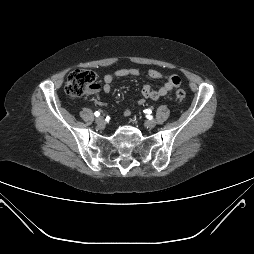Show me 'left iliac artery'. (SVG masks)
Here are the masks:
<instances>
[{"label": "left iliac artery", "mask_w": 254, "mask_h": 254, "mask_svg": "<svg viewBox=\"0 0 254 254\" xmlns=\"http://www.w3.org/2000/svg\"><path fill=\"white\" fill-rule=\"evenodd\" d=\"M144 113L150 114L151 110L146 109V110H144ZM148 117H150V116H148ZM149 120H151V118Z\"/></svg>", "instance_id": "44dca946"}]
</instances>
